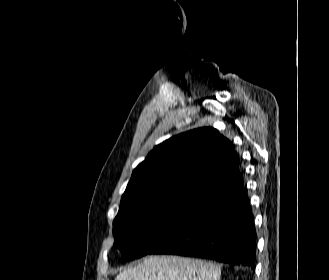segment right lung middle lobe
<instances>
[{
    "mask_svg": "<svg viewBox=\"0 0 329 280\" xmlns=\"http://www.w3.org/2000/svg\"><path fill=\"white\" fill-rule=\"evenodd\" d=\"M202 200L191 195H176L147 200L139 205L121 204L113 222L114 247L121 251L125 261L149 254Z\"/></svg>",
    "mask_w": 329,
    "mask_h": 280,
    "instance_id": "right-lung-middle-lobe-1",
    "label": "right lung middle lobe"
}]
</instances>
